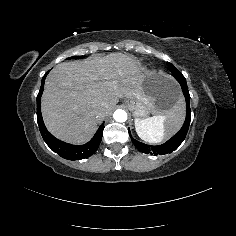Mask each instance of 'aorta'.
<instances>
[{
	"instance_id": "762f6f07",
	"label": "aorta",
	"mask_w": 236,
	"mask_h": 236,
	"mask_svg": "<svg viewBox=\"0 0 236 236\" xmlns=\"http://www.w3.org/2000/svg\"><path fill=\"white\" fill-rule=\"evenodd\" d=\"M113 117L118 122H124L127 119V113H126V111H124L122 109H117L114 112Z\"/></svg>"
}]
</instances>
